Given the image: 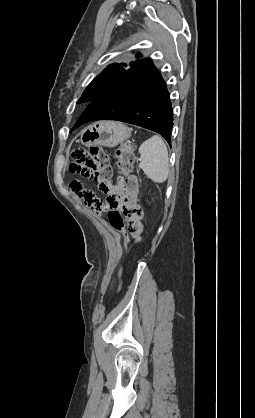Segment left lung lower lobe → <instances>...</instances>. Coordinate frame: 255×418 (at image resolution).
Instances as JSON below:
<instances>
[{
    "mask_svg": "<svg viewBox=\"0 0 255 418\" xmlns=\"http://www.w3.org/2000/svg\"><path fill=\"white\" fill-rule=\"evenodd\" d=\"M169 95L161 74L146 58L95 97L73 128L99 120H117L157 132L171 145L173 114Z\"/></svg>",
    "mask_w": 255,
    "mask_h": 418,
    "instance_id": "0a47b994",
    "label": "left lung lower lobe"
}]
</instances>
